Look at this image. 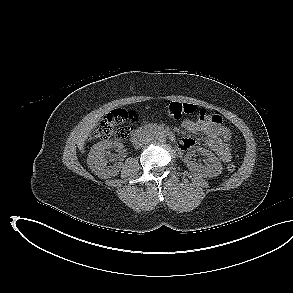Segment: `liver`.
Here are the masks:
<instances>
[{"label": "liver", "mask_w": 293, "mask_h": 293, "mask_svg": "<svg viewBox=\"0 0 293 293\" xmlns=\"http://www.w3.org/2000/svg\"><path fill=\"white\" fill-rule=\"evenodd\" d=\"M109 111L110 109L98 110L84 119L80 131L77 135V147L81 153H84L85 141L89 137L91 131L95 128L101 117L107 114Z\"/></svg>", "instance_id": "obj_1"}]
</instances>
